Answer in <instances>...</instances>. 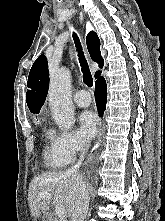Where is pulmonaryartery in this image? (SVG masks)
I'll list each match as a JSON object with an SVG mask.
<instances>
[{
	"mask_svg": "<svg viewBox=\"0 0 165 221\" xmlns=\"http://www.w3.org/2000/svg\"><path fill=\"white\" fill-rule=\"evenodd\" d=\"M73 100L78 107H87L91 103V97L86 90H79L74 94Z\"/></svg>",
	"mask_w": 165,
	"mask_h": 221,
	"instance_id": "e3ab8cb5",
	"label": "pulmonary artery"
}]
</instances>
